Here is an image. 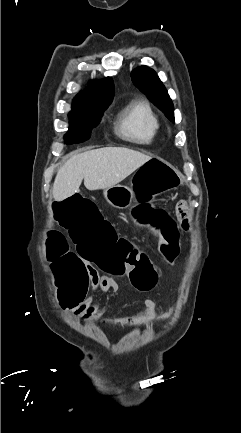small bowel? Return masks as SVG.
<instances>
[{
  "mask_svg": "<svg viewBox=\"0 0 241 433\" xmlns=\"http://www.w3.org/2000/svg\"><path fill=\"white\" fill-rule=\"evenodd\" d=\"M138 172V170L136 171ZM176 217L180 219V226L183 231L188 232L191 230V216L186 200H180L175 209ZM180 247V246H179ZM180 251L177 250V252ZM82 263L88 267L90 272V285L100 290L103 293H110L115 295L119 290V284L112 276L100 273L94 265H91L89 261H84L81 257ZM74 309L70 312L75 318L81 319L86 322L101 321L104 324L112 325L115 327H133L138 325H150L158 322L167 320L172 311L169 310L160 315L157 314L156 304L152 300H145L143 302L142 309L131 316L119 317V318H105V314L108 310L106 306H102L99 303H95L91 298L87 297L84 305H73Z\"/></svg>",
  "mask_w": 241,
  "mask_h": 433,
  "instance_id": "c3829d8e",
  "label": "small bowel"
}]
</instances>
